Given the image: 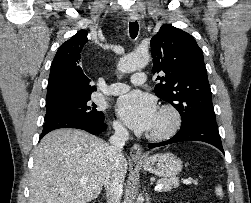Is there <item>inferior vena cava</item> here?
Returning <instances> with one entry per match:
<instances>
[{
  "label": "inferior vena cava",
  "mask_w": 251,
  "mask_h": 203,
  "mask_svg": "<svg viewBox=\"0 0 251 203\" xmlns=\"http://www.w3.org/2000/svg\"><path fill=\"white\" fill-rule=\"evenodd\" d=\"M114 135L110 137L108 156L110 158V171L104 181L107 203H120L123 194L124 173L122 169V149L129 139L128 130L119 123H114Z\"/></svg>",
  "instance_id": "602c4592"
}]
</instances>
